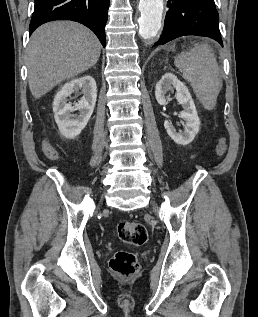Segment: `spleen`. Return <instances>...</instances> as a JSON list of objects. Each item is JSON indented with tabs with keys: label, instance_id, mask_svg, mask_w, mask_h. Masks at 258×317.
Listing matches in <instances>:
<instances>
[{
	"label": "spleen",
	"instance_id": "obj_1",
	"mask_svg": "<svg viewBox=\"0 0 258 317\" xmlns=\"http://www.w3.org/2000/svg\"><path fill=\"white\" fill-rule=\"evenodd\" d=\"M174 62L175 66L183 68V78L191 82L204 108L207 110L214 108L222 80L219 76L218 62L209 44L195 42L193 48L176 56Z\"/></svg>",
	"mask_w": 258,
	"mask_h": 317
}]
</instances>
